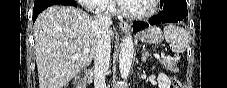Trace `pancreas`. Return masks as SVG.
Returning <instances> with one entry per match:
<instances>
[{"mask_svg":"<svg viewBox=\"0 0 227 88\" xmlns=\"http://www.w3.org/2000/svg\"><path fill=\"white\" fill-rule=\"evenodd\" d=\"M159 62L168 70L178 73L179 69L177 67V61L172 59H159Z\"/></svg>","mask_w":227,"mask_h":88,"instance_id":"pancreas-1","label":"pancreas"}]
</instances>
